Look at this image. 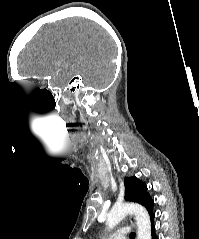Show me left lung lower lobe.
<instances>
[{
	"instance_id": "left-lung-lower-lobe-1",
	"label": "left lung lower lobe",
	"mask_w": 199,
	"mask_h": 239,
	"mask_svg": "<svg viewBox=\"0 0 199 239\" xmlns=\"http://www.w3.org/2000/svg\"><path fill=\"white\" fill-rule=\"evenodd\" d=\"M150 219H151V229H152V239H158L156 234H155V226H154V214H150Z\"/></svg>"
}]
</instances>
